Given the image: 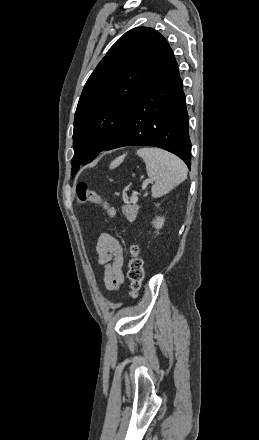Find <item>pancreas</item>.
Masks as SVG:
<instances>
[{"mask_svg":"<svg viewBox=\"0 0 259 440\" xmlns=\"http://www.w3.org/2000/svg\"><path fill=\"white\" fill-rule=\"evenodd\" d=\"M139 210V206L136 203L132 202V197L130 198V203L124 205L122 207L123 214L127 217L128 220L133 221L137 216Z\"/></svg>","mask_w":259,"mask_h":440,"instance_id":"pancreas-1","label":"pancreas"}]
</instances>
